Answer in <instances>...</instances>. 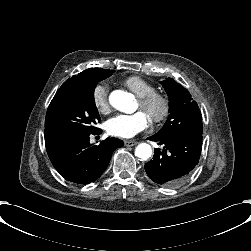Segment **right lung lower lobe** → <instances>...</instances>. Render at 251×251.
I'll return each mask as SVG.
<instances>
[{
	"mask_svg": "<svg viewBox=\"0 0 251 251\" xmlns=\"http://www.w3.org/2000/svg\"><path fill=\"white\" fill-rule=\"evenodd\" d=\"M89 140L90 135H77L46 145L53 166L66 180L84 185L94 182L106 170L113 151L123 146V141L114 137L98 146Z\"/></svg>",
	"mask_w": 251,
	"mask_h": 251,
	"instance_id": "98d812e1",
	"label": "right lung lower lobe"
}]
</instances>
